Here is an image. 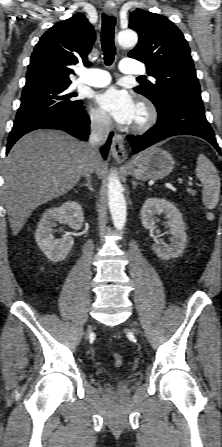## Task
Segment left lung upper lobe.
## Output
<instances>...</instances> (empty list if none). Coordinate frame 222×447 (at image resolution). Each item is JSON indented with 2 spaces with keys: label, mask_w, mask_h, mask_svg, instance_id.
<instances>
[{
  "label": "left lung upper lobe",
  "mask_w": 222,
  "mask_h": 447,
  "mask_svg": "<svg viewBox=\"0 0 222 447\" xmlns=\"http://www.w3.org/2000/svg\"><path fill=\"white\" fill-rule=\"evenodd\" d=\"M129 27L138 33L139 42L128 56L144 62L148 74L156 78L134 90L157 109L174 100L203 108L190 49L181 31L168 18L142 9L131 12Z\"/></svg>",
  "instance_id": "1"
}]
</instances>
